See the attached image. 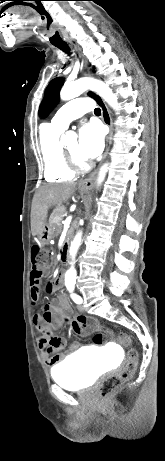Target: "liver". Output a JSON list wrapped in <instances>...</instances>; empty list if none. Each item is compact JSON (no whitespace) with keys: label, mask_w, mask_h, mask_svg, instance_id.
<instances>
[{"label":"liver","mask_w":165,"mask_h":461,"mask_svg":"<svg viewBox=\"0 0 165 461\" xmlns=\"http://www.w3.org/2000/svg\"><path fill=\"white\" fill-rule=\"evenodd\" d=\"M77 183L48 184L38 189L32 200L31 207V233L39 234L46 221L48 209L61 206L72 196Z\"/></svg>","instance_id":"6515ba94"}]
</instances>
